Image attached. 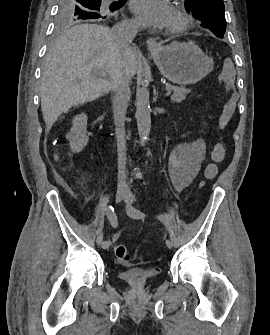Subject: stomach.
Instances as JSON below:
<instances>
[{"mask_svg":"<svg viewBox=\"0 0 270 335\" xmlns=\"http://www.w3.org/2000/svg\"><path fill=\"white\" fill-rule=\"evenodd\" d=\"M161 74L174 84H196L212 72L214 62L194 42H172L168 46L149 48Z\"/></svg>","mask_w":270,"mask_h":335,"instance_id":"obj_1","label":"stomach"}]
</instances>
